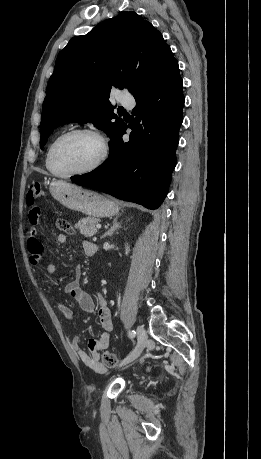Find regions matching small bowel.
<instances>
[{
    "mask_svg": "<svg viewBox=\"0 0 261 459\" xmlns=\"http://www.w3.org/2000/svg\"><path fill=\"white\" fill-rule=\"evenodd\" d=\"M66 239L67 238L64 233H59L56 236V241L59 244L65 243ZM27 246L28 251L30 253L31 262L33 264H37L40 261H42L44 247L41 240L38 237V234H29ZM81 246L83 252L87 256H92L94 254L93 243L89 241H83L81 243ZM55 269V263L49 264L46 269L47 275L53 274ZM81 274L82 268L80 266L75 267L74 279L65 285L64 292L75 300V302L78 304L82 311L86 313H91L93 312L95 307L94 301L80 286ZM97 299L99 302L98 319L103 329V333H101L100 336L97 338L89 339V353L81 347V339L79 337H75L72 340L71 347L77 353V356L85 365L94 370H102L103 366L100 362V351L107 349L110 345V332L113 330V322L106 298L101 293H99L97 295ZM57 309L64 318L68 320H73L75 318L74 311L66 304L62 302H57Z\"/></svg>",
    "mask_w": 261,
    "mask_h": 459,
    "instance_id": "obj_1",
    "label": "small bowel"
}]
</instances>
